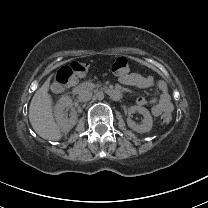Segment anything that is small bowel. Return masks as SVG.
<instances>
[{
	"instance_id": "c3829d8e",
	"label": "small bowel",
	"mask_w": 208,
	"mask_h": 208,
	"mask_svg": "<svg viewBox=\"0 0 208 208\" xmlns=\"http://www.w3.org/2000/svg\"><path fill=\"white\" fill-rule=\"evenodd\" d=\"M121 84L134 86L142 89H150L155 86L156 80L152 75H141L138 73H127L121 75L119 78ZM158 88L160 90V99L158 102L153 104L152 113L155 116H159L163 113H170L173 109V104L171 101V96L164 81L158 82ZM139 105H146L148 103L147 98L139 97L137 99Z\"/></svg>"
}]
</instances>
